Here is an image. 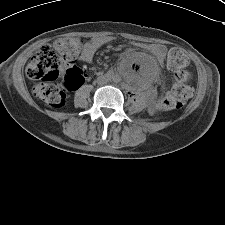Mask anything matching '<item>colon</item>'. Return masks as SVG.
Listing matches in <instances>:
<instances>
[{"instance_id": "1", "label": "colon", "mask_w": 225, "mask_h": 225, "mask_svg": "<svg viewBox=\"0 0 225 225\" xmlns=\"http://www.w3.org/2000/svg\"><path fill=\"white\" fill-rule=\"evenodd\" d=\"M82 40L76 37H61L53 44H45L29 61L26 74L28 78L38 81L33 87L34 96L51 108L62 107L69 89H77L85 81V72L76 67ZM189 60L178 49L169 52L167 67L173 72L175 83L169 91L157 101L160 110L181 108L192 95L188 85L190 73L187 70ZM60 71L64 72V81L56 82Z\"/></svg>"}]
</instances>
